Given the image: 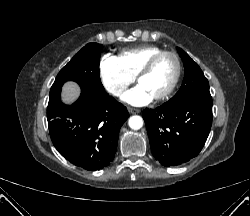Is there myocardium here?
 I'll use <instances>...</instances> for the list:
<instances>
[{
  "label": "myocardium",
  "mask_w": 250,
  "mask_h": 216,
  "mask_svg": "<svg viewBox=\"0 0 250 216\" xmlns=\"http://www.w3.org/2000/svg\"><path fill=\"white\" fill-rule=\"evenodd\" d=\"M166 55L171 56L174 59L175 64H176V72H175L174 78H173L170 86L163 93L153 97V99L155 101L164 100L169 95H171V93L175 90V88L180 80L181 73H182V63H181L179 55L174 51L162 50V51L156 53L155 55H153L148 60V62L143 66V68L139 71V73L137 74V81L139 82L142 77H144L145 75L150 73V71L153 69V67L157 63V61L161 57L166 56Z\"/></svg>",
  "instance_id": "obj_1"
}]
</instances>
